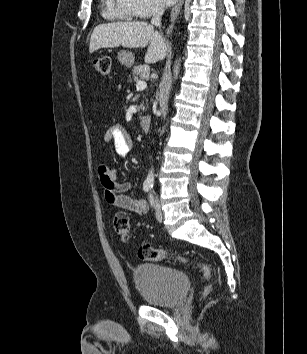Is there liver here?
Returning a JSON list of instances; mask_svg holds the SVG:
<instances>
[{
    "label": "liver",
    "instance_id": "liver-1",
    "mask_svg": "<svg viewBox=\"0 0 307 354\" xmlns=\"http://www.w3.org/2000/svg\"><path fill=\"white\" fill-rule=\"evenodd\" d=\"M145 55L146 63H156L167 55V44L154 27L144 21L113 22L98 25L90 38L89 52L101 48H144L148 45Z\"/></svg>",
    "mask_w": 307,
    "mask_h": 354
}]
</instances>
